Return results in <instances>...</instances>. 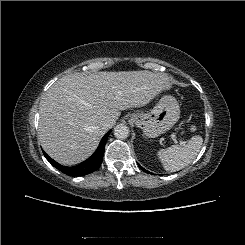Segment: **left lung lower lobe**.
Here are the masks:
<instances>
[{"instance_id": "0a47b994", "label": "left lung lower lobe", "mask_w": 245, "mask_h": 245, "mask_svg": "<svg viewBox=\"0 0 245 245\" xmlns=\"http://www.w3.org/2000/svg\"><path fill=\"white\" fill-rule=\"evenodd\" d=\"M139 167L143 170V171H145V172H148L147 170H145L143 167H141L140 165H139Z\"/></svg>"}]
</instances>
